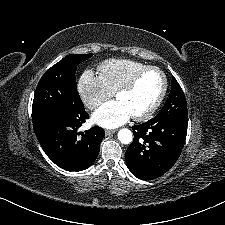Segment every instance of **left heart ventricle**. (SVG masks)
<instances>
[{"label":"left heart ventricle","mask_w":225,"mask_h":225,"mask_svg":"<svg viewBox=\"0 0 225 225\" xmlns=\"http://www.w3.org/2000/svg\"><path fill=\"white\" fill-rule=\"evenodd\" d=\"M162 79L156 71L144 73L134 88L117 96L119 100L131 113L132 116L147 111L156 100L161 90Z\"/></svg>","instance_id":"left-heart-ventricle-1"}]
</instances>
